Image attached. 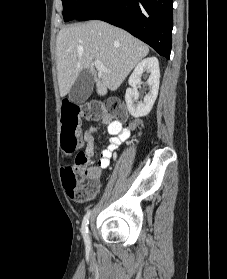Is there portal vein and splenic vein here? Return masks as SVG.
Instances as JSON below:
<instances>
[{
    "instance_id": "obj_1",
    "label": "portal vein and splenic vein",
    "mask_w": 227,
    "mask_h": 279,
    "mask_svg": "<svg viewBox=\"0 0 227 279\" xmlns=\"http://www.w3.org/2000/svg\"><path fill=\"white\" fill-rule=\"evenodd\" d=\"M94 65L97 69L107 72L108 70L104 67L103 63L99 60L94 61Z\"/></svg>"
}]
</instances>
